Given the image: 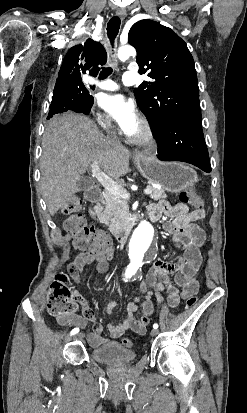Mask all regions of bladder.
Segmentation results:
<instances>
[{"label": "bladder", "mask_w": 247, "mask_h": 413, "mask_svg": "<svg viewBox=\"0 0 247 413\" xmlns=\"http://www.w3.org/2000/svg\"><path fill=\"white\" fill-rule=\"evenodd\" d=\"M91 356L96 362L105 364L133 362L136 352L123 348L118 342H105L100 348L91 351Z\"/></svg>", "instance_id": "31cf9c89"}]
</instances>
